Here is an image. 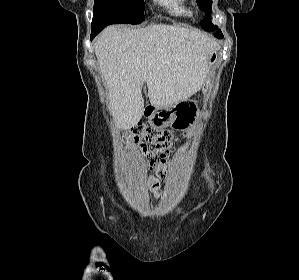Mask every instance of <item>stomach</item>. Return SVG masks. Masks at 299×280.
Returning <instances> with one entry per match:
<instances>
[{
    "instance_id": "1",
    "label": "stomach",
    "mask_w": 299,
    "mask_h": 280,
    "mask_svg": "<svg viewBox=\"0 0 299 280\" xmlns=\"http://www.w3.org/2000/svg\"><path fill=\"white\" fill-rule=\"evenodd\" d=\"M217 61V52L211 51L208 58V69ZM208 85L203 84V93H206ZM195 101L185 100L170 106H148L145 113L149 124L156 129L173 127L175 129L188 128L194 118Z\"/></svg>"
}]
</instances>
